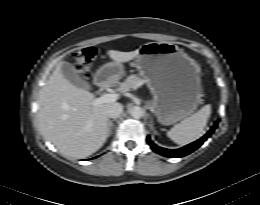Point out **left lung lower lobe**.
I'll return each instance as SVG.
<instances>
[{
    "mask_svg": "<svg viewBox=\"0 0 260 205\" xmlns=\"http://www.w3.org/2000/svg\"><path fill=\"white\" fill-rule=\"evenodd\" d=\"M217 122L214 123V126L210 129V131L204 136L202 137L201 139L185 146V147H182L180 149H175V150H171V149H165V148H161L157 145H155L150 137L148 136L147 137V142L148 144L151 146V148L157 152L158 154H161L163 156H166V157H171V158H175V157H183V156H186L188 154H190L191 152H193L194 150H196L198 147L201 146V144H203V142L208 138L210 137V135L214 132L215 128L217 127Z\"/></svg>",
    "mask_w": 260,
    "mask_h": 205,
    "instance_id": "1",
    "label": "left lung lower lobe"
}]
</instances>
